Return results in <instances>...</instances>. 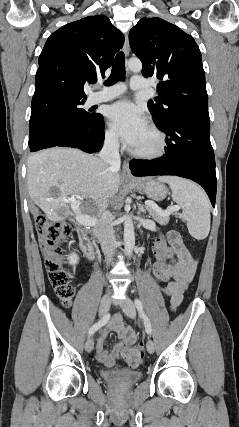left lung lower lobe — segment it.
Instances as JSON below:
<instances>
[{"label":"left lung lower lobe","instance_id":"0a47b994","mask_svg":"<svg viewBox=\"0 0 239 427\" xmlns=\"http://www.w3.org/2000/svg\"><path fill=\"white\" fill-rule=\"evenodd\" d=\"M167 135L165 155L154 160L130 162L134 176L176 175L200 184L212 206L216 199L215 158L210 142V120L193 115H175L155 123Z\"/></svg>","mask_w":239,"mask_h":427}]
</instances>
